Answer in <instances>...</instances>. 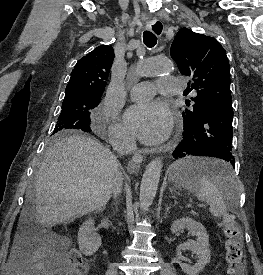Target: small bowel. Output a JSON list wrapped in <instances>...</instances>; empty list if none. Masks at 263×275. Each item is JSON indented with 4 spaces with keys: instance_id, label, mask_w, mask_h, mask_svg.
I'll list each match as a JSON object with an SVG mask.
<instances>
[{
    "instance_id": "obj_1",
    "label": "small bowel",
    "mask_w": 263,
    "mask_h": 275,
    "mask_svg": "<svg viewBox=\"0 0 263 275\" xmlns=\"http://www.w3.org/2000/svg\"><path fill=\"white\" fill-rule=\"evenodd\" d=\"M21 262L26 275H63L66 270L61 248L51 237L35 247Z\"/></svg>"
}]
</instances>
